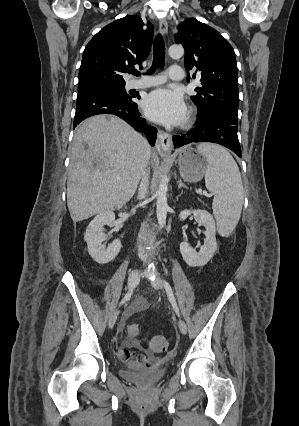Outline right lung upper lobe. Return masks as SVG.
<instances>
[{
    "mask_svg": "<svg viewBox=\"0 0 299 426\" xmlns=\"http://www.w3.org/2000/svg\"><path fill=\"white\" fill-rule=\"evenodd\" d=\"M143 26L140 17L126 16L102 28L85 47L78 87L125 84L123 74L149 55L153 26Z\"/></svg>",
    "mask_w": 299,
    "mask_h": 426,
    "instance_id": "cb5924a9",
    "label": "right lung upper lobe"
}]
</instances>
